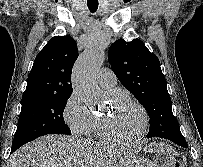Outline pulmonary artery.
Returning <instances> with one entry per match:
<instances>
[{
    "label": "pulmonary artery",
    "mask_w": 203,
    "mask_h": 167,
    "mask_svg": "<svg viewBox=\"0 0 203 167\" xmlns=\"http://www.w3.org/2000/svg\"><path fill=\"white\" fill-rule=\"evenodd\" d=\"M97 81L102 88L113 89L116 85L117 78L111 69L102 68L97 74Z\"/></svg>",
    "instance_id": "pulmonary-artery-1"
}]
</instances>
